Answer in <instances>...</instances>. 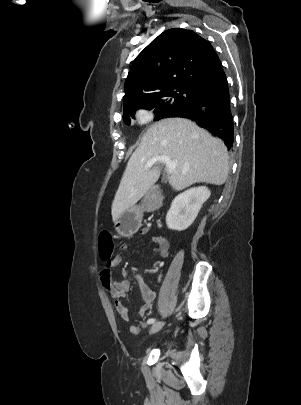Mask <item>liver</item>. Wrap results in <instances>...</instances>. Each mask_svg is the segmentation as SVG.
Wrapping results in <instances>:
<instances>
[{"instance_id": "obj_1", "label": "liver", "mask_w": 301, "mask_h": 405, "mask_svg": "<svg viewBox=\"0 0 301 405\" xmlns=\"http://www.w3.org/2000/svg\"><path fill=\"white\" fill-rule=\"evenodd\" d=\"M164 155L177 161L169 184L177 191L200 182L225 183L229 156L222 140L184 118H167L153 124L142 136L130 157L112 203L114 222L157 182L160 168H147V162Z\"/></svg>"}]
</instances>
